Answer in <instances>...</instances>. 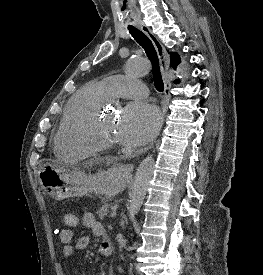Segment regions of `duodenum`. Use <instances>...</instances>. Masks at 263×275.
<instances>
[{
	"label": "duodenum",
	"instance_id": "1",
	"mask_svg": "<svg viewBox=\"0 0 263 275\" xmlns=\"http://www.w3.org/2000/svg\"><path fill=\"white\" fill-rule=\"evenodd\" d=\"M108 255H111V250L108 252Z\"/></svg>",
	"mask_w": 263,
	"mask_h": 275
}]
</instances>
